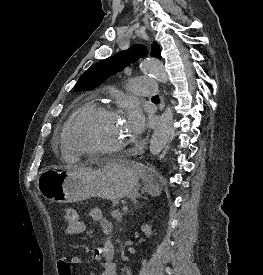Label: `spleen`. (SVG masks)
<instances>
[{
  "label": "spleen",
  "mask_w": 263,
  "mask_h": 275,
  "mask_svg": "<svg viewBox=\"0 0 263 275\" xmlns=\"http://www.w3.org/2000/svg\"><path fill=\"white\" fill-rule=\"evenodd\" d=\"M132 166L138 172L139 176L145 182V191L151 196H158L160 194V189L157 185L150 183L145 175V168L141 164L132 163Z\"/></svg>",
  "instance_id": "spleen-1"
}]
</instances>
